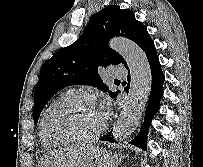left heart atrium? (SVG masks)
Listing matches in <instances>:
<instances>
[{"instance_id":"39dd6f15","label":"left heart atrium","mask_w":203,"mask_h":167,"mask_svg":"<svg viewBox=\"0 0 203 167\" xmlns=\"http://www.w3.org/2000/svg\"><path fill=\"white\" fill-rule=\"evenodd\" d=\"M109 110H110V103L107 100H105L102 103L101 111H100V114L102 115L103 120H105L107 118Z\"/></svg>"}]
</instances>
